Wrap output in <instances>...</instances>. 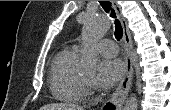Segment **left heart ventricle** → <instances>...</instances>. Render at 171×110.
<instances>
[{"label":"left heart ventricle","instance_id":"b2bd125f","mask_svg":"<svg viewBox=\"0 0 171 110\" xmlns=\"http://www.w3.org/2000/svg\"><path fill=\"white\" fill-rule=\"evenodd\" d=\"M82 77L90 83L94 81V77L92 75H83Z\"/></svg>","mask_w":171,"mask_h":110}]
</instances>
